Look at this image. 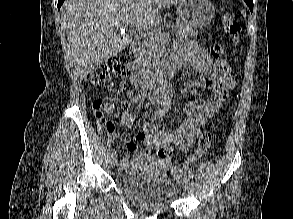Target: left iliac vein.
<instances>
[{
  "label": "left iliac vein",
  "instance_id": "1",
  "mask_svg": "<svg viewBox=\"0 0 293 219\" xmlns=\"http://www.w3.org/2000/svg\"><path fill=\"white\" fill-rule=\"evenodd\" d=\"M184 188H185V192L188 193L189 190H190V182H189V179L187 177L185 178Z\"/></svg>",
  "mask_w": 293,
  "mask_h": 219
}]
</instances>
